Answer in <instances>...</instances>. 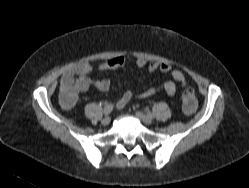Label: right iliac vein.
Listing matches in <instances>:
<instances>
[{"label": "right iliac vein", "instance_id": "1", "mask_svg": "<svg viewBox=\"0 0 249 188\" xmlns=\"http://www.w3.org/2000/svg\"><path fill=\"white\" fill-rule=\"evenodd\" d=\"M110 121H111V118H110L109 116H107V117H105V118L101 121V123H102V125L107 126V125L110 123Z\"/></svg>", "mask_w": 249, "mask_h": 188}]
</instances>
